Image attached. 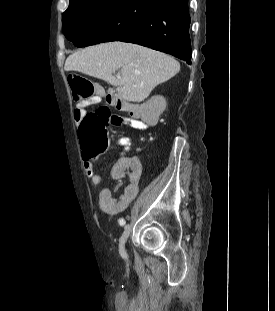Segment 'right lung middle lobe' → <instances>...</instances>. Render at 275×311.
Listing matches in <instances>:
<instances>
[{
	"mask_svg": "<svg viewBox=\"0 0 275 311\" xmlns=\"http://www.w3.org/2000/svg\"><path fill=\"white\" fill-rule=\"evenodd\" d=\"M161 0H83L69 3L63 32L77 47L114 41Z\"/></svg>",
	"mask_w": 275,
	"mask_h": 311,
	"instance_id": "1",
	"label": "right lung middle lobe"
}]
</instances>
